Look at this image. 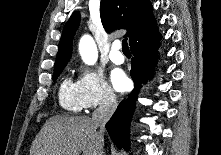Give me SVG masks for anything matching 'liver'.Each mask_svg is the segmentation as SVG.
<instances>
[{
    "label": "liver",
    "mask_w": 221,
    "mask_h": 155,
    "mask_svg": "<svg viewBox=\"0 0 221 155\" xmlns=\"http://www.w3.org/2000/svg\"><path fill=\"white\" fill-rule=\"evenodd\" d=\"M97 128L86 116H53L36 135L30 155H98Z\"/></svg>",
    "instance_id": "6515ba94"
}]
</instances>
